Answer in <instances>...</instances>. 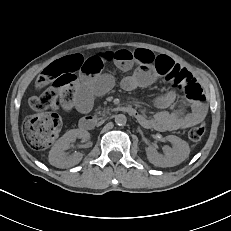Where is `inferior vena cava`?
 Listing matches in <instances>:
<instances>
[{
	"label": "inferior vena cava",
	"instance_id": "inferior-vena-cava-1",
	"mask_svg": "<svg viewBox=\"0 0 231 231\" xmlns=\"http://www.w3.org/2000/svg\"><path fill=\"white\" fill-rule=\"evenodd\" d=\"M108 117L106 116V117H104V118H102L101 120H100V122H98L97 124H96V127L97 128H100L101 126H102V124L103 123H105V122H107L108 121Z\"/></svg>",
	"mask_w": 231,
	"mask_h": 231
}]
</instances>
